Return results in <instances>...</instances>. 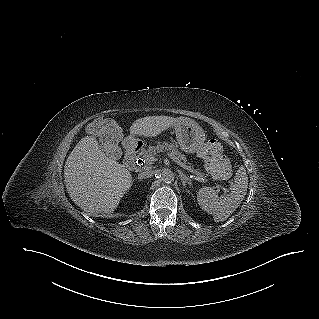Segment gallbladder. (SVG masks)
<instances>
[{"label": "gallbladder", "instance_id": "bac80fb5", "mask_svg": "<svg viewBox=\"0 0 319 319\" xmlns=\"http://www.w3.org/2000/svg\"><path fill=\"white\" fill-rule=\"evenodd\" d=\"M105 151L107 152V154L109 156H115V150L118 149L117 144L113 145V144H109L107 146H104Z\"/></svg>", "mask_w": 319, "mask_h": 319}]
</instances>
